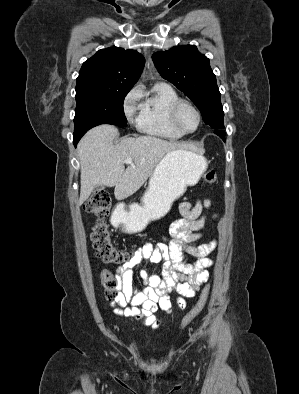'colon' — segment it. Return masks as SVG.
I'll return each mask as SVG.
<instances>
[{
    "instance_id": "obj_1",
    "label": "colon",
    "mask_w": 299,
    "mask_h": 394,
    "mask_svg": "<svg viewBox=\"0 0 299 394\" xmlns=\"http://www.w3.org/2000/svg\"><path fill=\"white\" fill-rule=\"evenodd\" d=\"M217 174L214 170H208L204 175L206 184H215ZM112 206V199L105 190L96 191L85 203V210L97 217L92 227L91 239L95 254L106 264H124L127 263L132 255L124 250L117 248L111 241L109 227L106 223V217L109 215ZM101 286L106 297H113L119 287V281L112 273L104 271L101 275ZM210 286L206 285L201 291L199 299L195 306L184 317L182 325L187 326L194 320L204 309Z\"/></svg>"
}]
</instances>
